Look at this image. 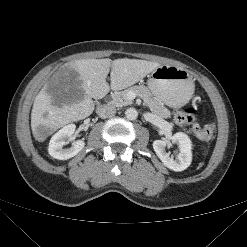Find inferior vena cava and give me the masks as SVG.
I'll return each mask as SVG.
<instances>
[{
    "label": "inferior vena cava",
    "mask_w": 247,
    "mask_h": 247,
    "mask_svg": "<svg viewBox=\"0 0 247 247\" xmlns=\"http://www.w3.org/2000/svg\"><path fill=\"white\" fill-rule=\"evenodd\" d=\"M97 113L101 118H108L116 113V108L112 105H103L97 109Z\"/></svg>",
    "instance_id": "inferior-vena-cava-1"
}]
</instances>
